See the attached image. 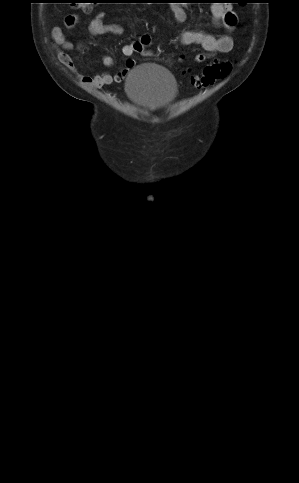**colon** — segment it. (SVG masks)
Returning <instances> with one entry per match:
<instances>
[{"label": "colon", "instance_id": "colon-1", "mask_svg": "<svg viewBox=\"0 0 299 483\" xmlns=\"http://www.w3.org/2000/svg\"><path fill=\"white\" fill-rule=\"evenodd\" d=\"M79 3H92L89 1H82ZM82 9H87V5L90 4H79ZM232 69V63L229 61L224 62H214L205 67L202 75L192 76L191 81L195 87H204L213 84L226 77Z\"/></svg>", "mask_w": 299, "mask_h": 483}]
</instances>
